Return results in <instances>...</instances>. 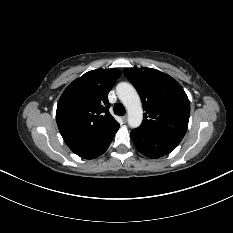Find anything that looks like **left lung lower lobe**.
I'll return each instance as SVG.
<instances>
[{
  "mask_svg": "<svg viewBox=\"0 0 233 233\" xmlns=\"http://www.w3.org/2000/svg\"><path fill=\"white\" fill-rule=\"evenodd\" d=\"M138 151L148 158H159L169 154L180 143L181 139L134 129L130 133Z\"/></svg>",
  "mask_w": 233,
  "mask_h": 233,
  "instance_id": "0a47b994",
  "label": "left lung lower lobe"
}]
</instances>
